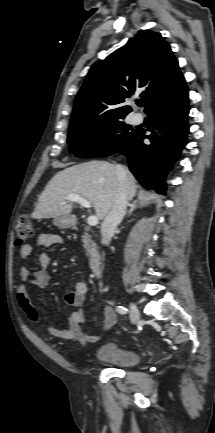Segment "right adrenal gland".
Instances as JSON below:
<instances>
[{
  "instance_id": "1",
  "label": "right adrenal gland",
  "mask_w": 215,
  "mask_h": 433,
  "mask_svg": "<svg viewBox=\"0 0 215 433\" xmlns=\"http://www.w3.org/2000/svg\"><path fill=\"white\" fill-rule=\"evenodd\" d=\"M128 206L130 207V209H129V211H128V216H130L131 215V213L135 210V202L134 203H132V204H128Z\"/></svg>"
}]
</instances>
